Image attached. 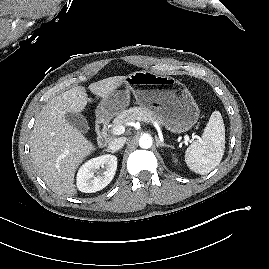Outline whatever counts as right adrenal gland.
<instances>
[{
  "mask_svg": "<svg viewBox=\"0 0 269 269\" xmlns=\"http://www.w3.org/2000/svg\"><path fill=\"white\" fill-rule=\"evenodd\" d=\"M106 151L110 152V153H116V151H113V150H110V149H107Z\"/></svg>",
  "mask_w": 269,
  "mask_h": 269,
  "instance_id": "1",
  "label": "right adrenal gland"
}]
</instances>
